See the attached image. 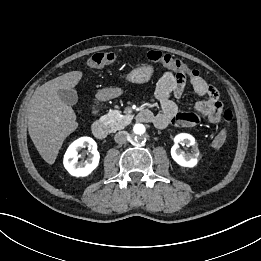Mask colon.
<instances>
[{
	"instance_id": "colon-1",
	"label": "colon",
	"mask_w": 261,
	"mask_h": 261,
	"mask_svg": "<svg viewBox=\"0 0 261 261\" xmlns=\"http://www.w3.org/2000/svg\"><path fill=\"white\" fill-rule=\"evenodd\" d=\"M146 58L154 63H160L178 73L186 76L194 77L198 75V71L190 68L182 60L171 56L170 54H164L159 51H149L146 54ZM118 60V55L114 52H97L89 56L84 62V66L88 68H99L108 64H112ZM223 119L226 124H229L232 120V113L230 110H226L223 113ZM227 128L220 130L212 140V146L216 149H220L224 146L227 139Z\"/></svg>"
}]
</instances>
